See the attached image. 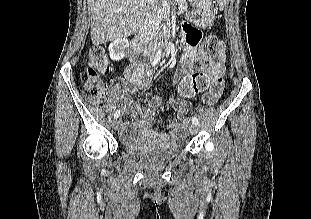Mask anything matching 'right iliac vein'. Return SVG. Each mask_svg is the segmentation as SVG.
I'll return each mask as SVG.
<instances>
[{
    "mask_svg": "<svg viewBox=\"0 0 311 219\" xmlns=\"http://www.w3.org/2000/svg\"><path fill=\"white\" fill-rule=\"evenodd\" d=\"M112 127L114 130H117L119 128V121L117 119H114L112 121Z\"/></svg>",
    "mask_w": 311,
    "mask_h": 219,
    "instance_id": "obj_1",
    "label": "right iliac vein"
}]
</instances>
